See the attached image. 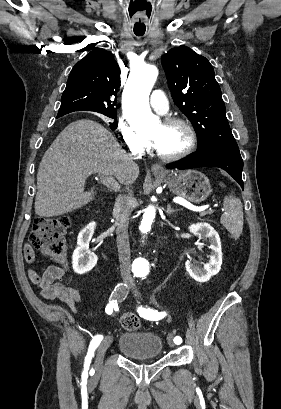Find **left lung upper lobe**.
Returning <instances> with one entry per match:
<instances>
[{
	"label": "left lung upper lobe",
	"mask_w": 281,
	"mask_h": 409,
	"mask_svg": "<svg viewBox=\"0 0 281 409\" xmlns=\"http://www.w3.org/2000/svg\"><path fill=\"white\" fill-rule=\"evenodd\" d=\"M161 62L175 104L193 124L198 148L238 149L209 61L189 47L179 46L163 55Z\"/></svg>",
	"instance_id": "5c2ea615"
}]
</instances>
